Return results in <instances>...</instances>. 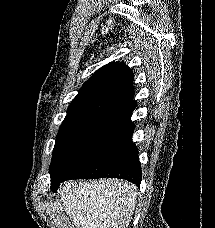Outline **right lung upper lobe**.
<instances>
[{
	"label": "right lung upper lobe",
	"mask_w": 215,
	"mask_h": 228,
	"mask_svg": "<svg viewBox=\"0 0 215 228\" xmlns=\"http://www.w3.org/2000/svg\"><path fill=\"white\" fill-rule=\"evenodd\" d=\"M133 73L123 63H109L97 70L82 86L68 107L59 131L97 120L132 125L136 108Z\"/></svg>",
	"instance_id": "obj_1"
}]
</instances>
